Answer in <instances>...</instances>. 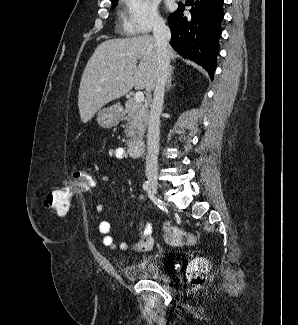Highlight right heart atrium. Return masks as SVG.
<instances>
[{
    "instance_id": "obj_1",
    "label": "right heart atrium",
    "mask_w": 298,
    "mask_h": 325,
    "mask_svg": "<svg viewBox=\"0 0 298 325\" xmlns=\"http://www.w3.org/2000/svg\"><path fill=\"white\" fill-rule=\"evenodd\" d=\"M128 37H143L146 30H159L161 19L155 0H128L126 2Z\"/></svg>"
}]
</instances>
